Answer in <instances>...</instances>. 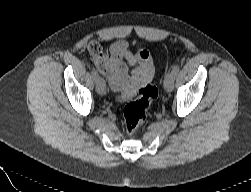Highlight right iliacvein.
Instances as JSON below:
<instances>
[{
    "instance_id": "right-iliac-vein-1",
    "label": "right iliac vein",
    "mask_w": 251,
    "mask_h": 192,
    "mask_svg": "<svg viewBox=\"0 0 251 192\" xmlns=\"http://www.w3.org/2000/svg\"><path fill=\"white\" fill-rule=\"evenodd\" d=\"M96 90L100 95L106 94V83L102 78L96 82Z\"/></svg>"
}]
</instances>
